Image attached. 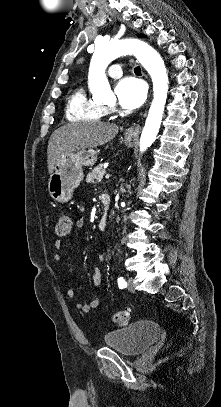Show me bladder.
Here are the masks:
<instances>
[{
  "label": "bladder",
  "mask_w": 221,
  "mask_h": 407,
  "mask_svg": "<svg viewBox=\"0 0 221 407\" xmlns=\"http://www.w3.org/2000/svg\"><path fill=\"white\" fill-rule=\"evenodd\" d=\"M160 332L154 319H142L125 328L106 332L103 341L121 354L135 356L145 351Z\"/></svg>",
  "instance_id": "obj_1"
}]
</instances>
